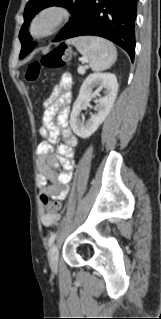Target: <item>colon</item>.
I'll return each instance as SVG.
<instances>
[{
  "instance_id": "1",
  "label": "colon",
  "mask_w": 161,
  "mask_h": 319,
  "mask_svg": "<svg viewBox=\"0 0 161 319\" xmlns=\"http://www.w3.org/2000/svg\"><path fill=\"white\" fill-rule=\"evenodd\" d=\"M70 57V49L61 45L45 54L40 61L32 62L28 65L26 71V79L28 81H35L40 77L42 66L57 70L62 68ZM42 202L48 206L51 212L58 213L60 211L59 203H50L46 194H43Z\"/></svg>"
}]
</instances>
